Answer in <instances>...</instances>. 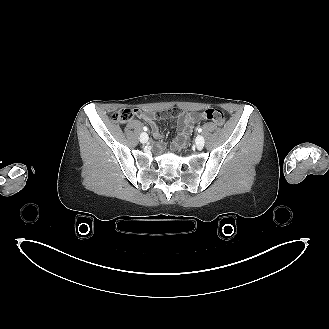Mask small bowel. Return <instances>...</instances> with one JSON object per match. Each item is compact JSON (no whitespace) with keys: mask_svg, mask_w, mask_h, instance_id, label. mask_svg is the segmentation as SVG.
<instances>
[{"mask_svg":"<svg viewBox=\"0 0 329 329\" xmlns=\"http://www.w3.org/2000/svg\"><path fill=\"white\" fill-rule=\"evenodd\" d=\"M140 118L150 124L154 138L160 139L161 133L156 125L157 119H163L168 116L175 122L178 136L173 142L175 149H182L187 143L188 136L192 132L194 125L198 122L199 118L195 113H180L177 107L171 108L169 111L159 112H141L138 114Z\"/></svg>","mask_w":329,"mask_h":329,"instance_id":"1","label":"small bowel"}]
</instances>
